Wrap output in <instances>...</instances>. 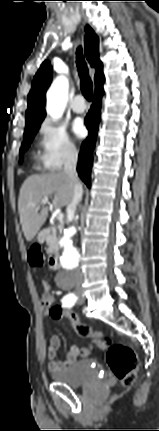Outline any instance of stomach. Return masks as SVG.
<instances>
[{"label": "stomach", "mask_w": 159, "mask_h": 431, "mask_svg": "<svg viewBox=\"0 0 159 431\" xmlns=\"http://www.w3.org/2000/svg\"><path fill=\"white\" fill-rule=\"evenodd\" d=\"M37 239H38V241H40V242H42V241H43V238H42L41 236H38V237H37Z\"/></svg>", "instance_id": "0dacf381"}]
</instances>
